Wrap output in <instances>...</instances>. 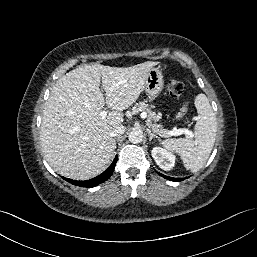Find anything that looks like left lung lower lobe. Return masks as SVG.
Masks as SVG:
<instances>
[{
    "label": "left lung lower lobe",
    "instance_id": "0a47b994",
    "mask_svg": "<svg viewBox=\"0 0 257 257\" xmlns=\"http://www.w3.org/2000/svg\"><path fill=\"white\" fill-rule=\"evenodd\" d=\"M159 175H161L163 178H165V179H168V180H171V181H182V180H184V178H173V177H169V176H165V175H163V174H161V173H158Z\"/></svg>",
    "mask_w": 257,
    "mask_h": 257
}]
</instances>
